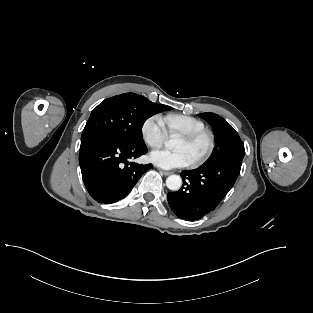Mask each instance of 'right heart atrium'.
<instances>
[{
	"label": "right heart atrium",
	"instance_id": "1",
	"mask_svg": "<svg viewBox=\"0 0 313 313\" xmlns=\"http://www.w3.org/2000/svg\"><path fill=\"white\" fill-rule=\"evenodd\" d=\"M141 135L144 142L151 148H158L164 144L167 139V131L158 115L148 117L142 124Z\"/></svg>",
	"mask_w": 313,
	"mask_h": 313
}]
</instances>
